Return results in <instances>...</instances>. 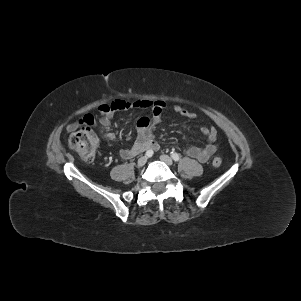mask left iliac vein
<instances>
[{"label": "left iliac vein", "mask_w": 301, "mask_h": 301, "mask_svg": "<svg viewBox=\"0 0 301 301\" xmlns=\"http://www.w3.org/2000/svg\"><path fill=\"white\" fill-rule=\"evenodd\" d=\"M160 159H161V161L166 163L168 166L173 165V161H172L171 157H169L168 155L163 154L160 156Z\"/></svg>", "instance_id": "left-iliac-vein-1"}]
</instances>
